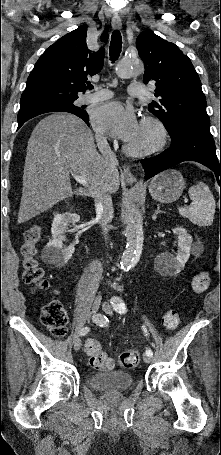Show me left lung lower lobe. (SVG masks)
<instances>
[{"mask_svg": "<svg viewBox=\"0 0 221 455\" xmlns=\"http://www.w3.org/2000/svg\"><path fill=\"white\" fill-rule=\"evenodd\" d=\"M197 161L214 171L221 187V154L216 155L214 140L210 132L197 129L183 131L171 141L169 149L159 155L141 160L145 179L169 169L183 161Z\"/></svg>", "mask_w": 221, "mask_h": 455, "instance_id": "1", "label": "left lung lower lobe"}]
</instances>
